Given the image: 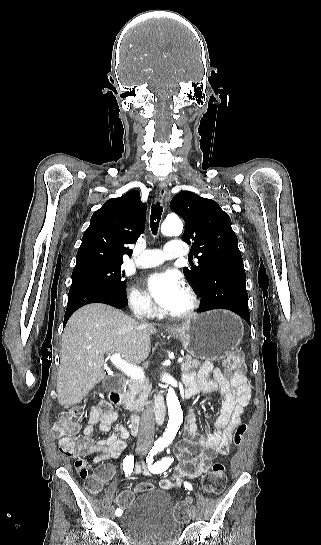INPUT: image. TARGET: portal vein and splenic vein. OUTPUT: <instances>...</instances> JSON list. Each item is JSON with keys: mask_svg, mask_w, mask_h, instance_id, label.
I'll list each match as a JSON object with an SVG mask.
<instances>
[{"mask_svg": "<svg viewBox=\"0 0 321 545\" xmlns=\"http://www.w3.org/2000/svg\"><path fill=\"white\" fill-rule=\"evenodd\" d=\"M177 364H181L182 357H177ZM111 363L117 367V369H120V371H123L125 375H128V377H131V379H139V381H143L145 377V373L143 369H140V367H135V365H129L127 361H123L121 359L120 355L118 353H113L110 357Z\"/></svg>", "mask_w": 321, "mask_h": 545, "instance_id": "portal-vein-and-splenic-vein-1", "label": "portal vein and splenic vein"}]
</instances>
